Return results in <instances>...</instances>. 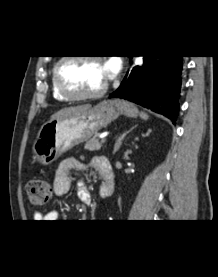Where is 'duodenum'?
Returning a JSON list of instances; mask_svg holds the SVG:
<instances>
[{"label": "duodenum", "mask_w": 218, "mask_h": 277, "mask_svg": "<svg viewBox=\"0 0 218 277\" xmlns=\"http://www.w3.org/2000/svg\"><path fill=\"white\" fill-rule=\"evenodd\" d=\"M98 165L100 167H109L110 166V161L107 158L104 157H98ZM107 175H109V169L107 171ZM112 181V178L109 176H105L103 177V181L100 183L99 185V189H100V194L102 196H110V194H108V190H109V182ZM113 187V186H112ZM113 189V188H112ZM113 193V190H112Z\"/></svg>", "instance_id": "410a0bca"}]
</instances>
